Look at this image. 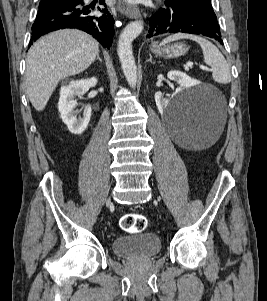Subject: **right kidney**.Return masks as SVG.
Returning <instances> with one entry per match:
<instances>
[{
	"label": "right kidney",
	"instance_id": "ca27d5eb",
	"mask_svg": "<svg viewBox=\"0 0 267 301\" xmlns=\"http://www.w3.org/2000/svg\"><path fill=\"white\" fill-rule=\"evenodd\" d=\"M97 82L98 80L95 77L72 81L68 85L63 86L60 90L58 110L60 112L61 119L67 125L68 130L75 135H80L86 130L92 112L91 107L86 106L84 108L83 117L77 119V111L74 109L78 103L75 100V97H81L89 90L90 87H94Z\"/></svg>",
	"mask_w": 267,
	"mask_h": 301
}]
</instances>
